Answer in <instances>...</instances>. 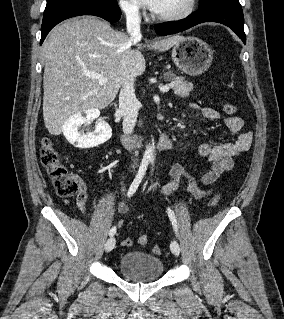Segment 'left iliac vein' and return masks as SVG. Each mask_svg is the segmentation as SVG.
<instances>
[{"instance_id":"obj_1","label":"left iliac vein","mask_w":284,"mask_h":319,"mask_svg":"<svg viewBox=\"0 0 284 319\" xmlns=\"http://www.w3.org/2000/svg\"><path fill=\"white\" fill-rule=\"evenodd\" d=\"M170 249L174 255L178 256L180 254V246L176 240L171 241Z\"/></svg>"}]
</instances>
